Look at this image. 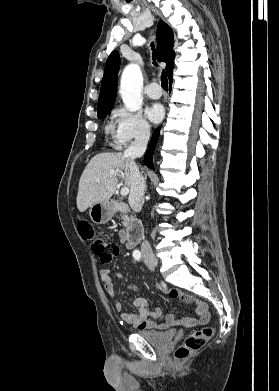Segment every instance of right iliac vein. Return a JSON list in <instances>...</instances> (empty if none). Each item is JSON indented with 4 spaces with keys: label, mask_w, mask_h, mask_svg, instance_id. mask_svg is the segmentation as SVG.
Returning a JSON list of instances; mask_svg holds the SVG:
<instances>
[{
    "label": "right iliac vein",
    "mask_w": 279,
    "mask_h": 391,
    "mask_svg": "<svg viewBox=\"0 0 279 391\" xmlns=\"http://www.w3.org/2000/svg\"><path fill=\"white\" fill-rule=\"evenodd\" d=\"M144 261L147 264V266H150V267H153V268H156L158 266V261L153 256H146L144 258Z\"/></svg>",
    "instance_id": "63e3f726"
}]
</instances>
